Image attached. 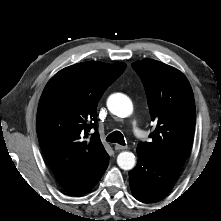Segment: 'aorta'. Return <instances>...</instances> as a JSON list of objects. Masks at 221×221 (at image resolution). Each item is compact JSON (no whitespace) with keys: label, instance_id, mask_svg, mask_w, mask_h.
<instances>
[{"label":"aorta","instance_id":"762f6f07","mask_svg":"<svg viewBox=\"0 0 221 221\" xmlns=\"http://www.w3.org/2000/svg\"><path fill=\"white\" fill-rule=\"evenodd\" d=\"M108 110L118 117H128L133 113V104L129 97L121 93L109 96L107 100ZM136 163L135 156L131 152H121L117 157V164L123 170H131Z\"/></svg>","mask_w":221,"mask_h":221}]
</instances>
